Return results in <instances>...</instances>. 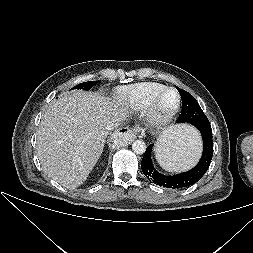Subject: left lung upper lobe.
I'll return each mask as SVG.
<instances>
[{"instance_id": "5c2ea615", "label": "left lung upper lobe", "mask_w": 253, "mask_h": 253, "mask_svg": "<svg viewBox=\"0 0 253 253\" xmlns=\"http://www.w3.org/2000/svg\"><path fill=\"white\" fill-rule=\"evenodd\" d=\"M182 98V112L177 119L180 123H197L199 120L205 121L204 112L196 99L188 92L177 88Z\"/></svg>"}]
</instances>
